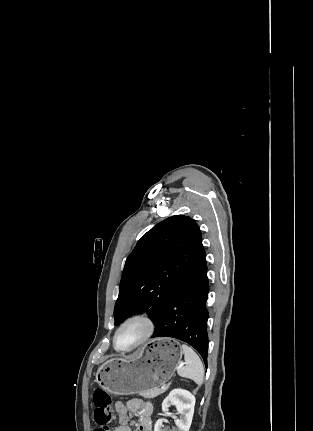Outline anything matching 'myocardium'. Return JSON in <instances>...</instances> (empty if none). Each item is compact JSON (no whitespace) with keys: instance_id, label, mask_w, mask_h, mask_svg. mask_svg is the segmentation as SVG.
<instances>
[{"instance_id":"obj_1","label":"myocardium","mask_w":313,"mask_h":431,"mask_svg":"<svg viewBox=\"0 0 313 431\" xmlns=\"http://www.w3.org/2000/svg\"><path fill=\"white\" fill-rule=\"evenodd\" d=\"M133 322H141V323H143L144 325H145V333H144V335L142 336V338L137 342V343H135L133 346H131V347H129V348H125V349H122V348H119L118 346H117V337H118V334H119V332L126 326V325H128V324H130V323H133ZM155 330H156V323H155V320L153 319V317L149 314V313H147V312H138V313H135V314H133V315H131V316H129L127 319H125L120 325H119V327L117 328V330H116V332H115V334H114V337H113V345H114V348L117 350V351H119V352H130V351H133V350H135V349H137V348H139V347H141V346H143L144 344H146L150 339H151V337L154 335V333H155Z\"/></svg>"}]
</instances>
